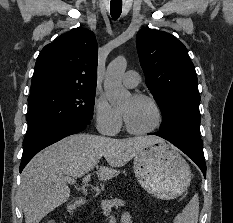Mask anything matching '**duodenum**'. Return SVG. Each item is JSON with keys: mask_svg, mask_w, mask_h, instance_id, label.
<instances>
[{"mask_svg": "<svg viewBox=\"0 0 233 223\" xmlns=\"http://www.w3.org/2000/svg\"><path fill=\"white\" fill-rule=\"evenodd\" d=\"M86 203V199L84 197H78L74 200H72L68 206H67V211L70 214H73L78 208L83 206Z\"/></svg>", "mask_w": 233, "mask_h": 223, "instance_id": "410a0bca", "label": "duodenum"}]
</instances>
